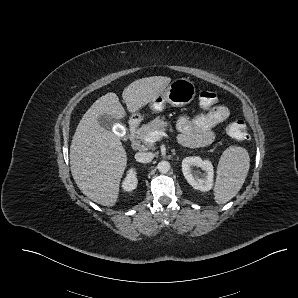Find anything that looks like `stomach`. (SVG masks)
Listing matches in <instances>:
<instances>
[{
  "label": "stomach",
  "mask_w": 298,
  "mask_h": 298,
  "mask_svg": "<svg viewBox=\"0 0 298 298\" xmlns=\"http://www.w3.org/2000/svg\"><path fill=\"white\" fill-rule=\"evenodd\" d=\"M195 95L196 87L192 81L187 78L174 79L164 92L149 104V108L154 113H161L165 110L166 104L183 107L191 103Z\"/></svg>",
  "instance_id": "0dacf381"
}]
</instances>
